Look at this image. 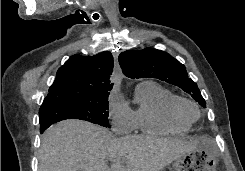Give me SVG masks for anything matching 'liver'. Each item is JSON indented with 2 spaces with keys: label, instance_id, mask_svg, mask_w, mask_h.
<instances>
[{
  "label": "liver",
  "instance_id": "1",
  "mask_svg": "<svg viewBox=\"0 0 245 171\" xmlns=\"http://www.w3.org/2000/svg\"><path fill=\"white\" fill-rule=\"evenodd\" d=\"M204 142L154 136L112 138L89 122L65 120L44 133L39 171H160ZM105 159L111 161V168Z\"/></svg>",
  "mask_w": 245,
  "mask_h": 171
}]
</instances>
